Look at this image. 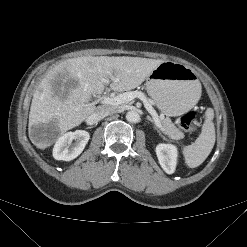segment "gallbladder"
<instances>
[{
    "instance_id": "1",
    "label": "gallbladder",
    "mask_w": 247,
    "mask_h": 247,
    "mask_svg": "<svg viewBox=\"0 0 247 247\" xmlns=\"http://www.w3.org/2000/svg\"><path fill=\"white\" fill-rule=\"evenodd\" d=\"M54 86L55 93L58 96L65 97L67 94V91H65L63 94L61 92V87L64 85L66 89L73 88L77 85V82L72 79H66L64 74H58L56 78L51 82Z\"/></svg>"
}]
</instances>
